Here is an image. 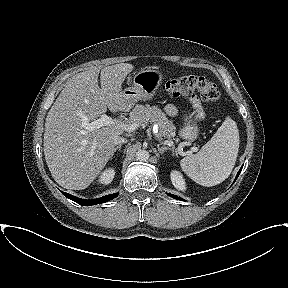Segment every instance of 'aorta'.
<instances>
[{
  "label": "aorta",
  "instance_id": "1",
  "mask_svg": "<svg viewBox=\"0 0 288 288\" xmlns=\"http://www.w3.org/2000/svg\"><path fill=\"white\" fill-rule=\"evenodd\" d=\"M150 157V154L147 150H138L136 152V159L141 162H146Z\"/></svg>",
  "mask_w": 288,
  "mask_h": 288
}]
</instances>
